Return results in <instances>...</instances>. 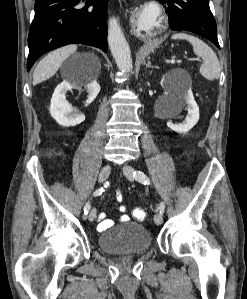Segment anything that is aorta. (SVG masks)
Returning a JSON list of instances; mask_svg holds the SVG:
<instances>
[{
  "instance_id": "1",
  "label": "aorta",
  "mask_w": 247,
  "mask_h": 299,
  "mask_svg": "<svg viewBox=\"0 0 247 299\" xmlns=\"http://www.w3.org/2000/svg\"><path fill=\"white\" fill-rule=\"evenodd\" d=\"M108 45L119 70L130 73L133 68L130 47L116 18L108 23Z\"/></svg>"
}]
</instances>
